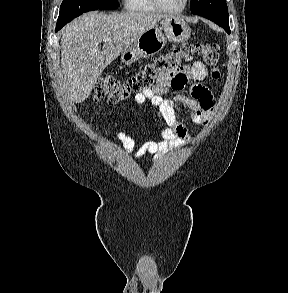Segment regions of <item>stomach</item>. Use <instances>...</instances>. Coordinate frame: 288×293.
<instances>
[{"mask_svg":"<svg viewBox=\"0 0 288 293\" xmlns=\"http://www.w3.org/2000/svg\"><path fill=\"white\" fill-rule=\"evenodd\" d=\"M191 36V28L180 17L167 16L160 21V25L145 31L121 55L122 63L130 65L141 58L155 55L163 49L167 40L180 43Z\"/></svg>","mask_w":288,"mask_h":293,"instance_id":"stomach-1","label":"stomach"}]
</instances>
